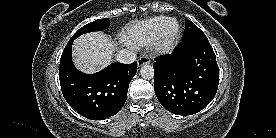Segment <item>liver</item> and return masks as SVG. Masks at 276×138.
<instances>
[{"mask_svg": "<svg viewBox=\"0 0 276 138\" xmlns=\"http://www.w3.org/2000/svg\"><path fill=\"white\" fill-rule=\"evenodd\" d=\"M114 50L115 44L106 34H84L73 43V62L84 73H94L110 64Z\"/></svg>", "mask_w": 276, "mask_h": 138, "instance_id": "obj_1", "label": "liver"}]
</instances>
